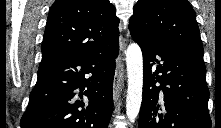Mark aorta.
<instances>
[{
  "instance_id": "aorta-1",
  "label": "aorta",
  "mask_w": 221,
  "mask_h": 128,
  "mask_svg": "<svg viewBox=\"0 0 221 128\" xmlns=\"http://www.w3.org/2000/svg\"><path fill=\"white\" fill-rule=\"evenodd\" d=\"M128 90L126 96V114L133 122L139 114L143 90V57L137 43L128 46L126 52Z\"/></svg>"
}]
</instances>
